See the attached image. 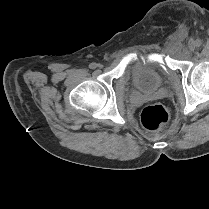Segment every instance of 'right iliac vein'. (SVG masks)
<instances>
[{
  "label": "right iliac vein",
  "mask_w": 209,
  "mask_h": 209,
  "mask_svg": "<svg viewBox=\"0 0 209 209\" xmlns=\"http://www.w3.org/2000/svg\"><path fill=\"white\" fill-rule=\"evenodd\" d=\"M98 67L101 68L102 66L99 64Z\"/></svg>",
  "instance_id": "obj_1"
}]
</instances>
